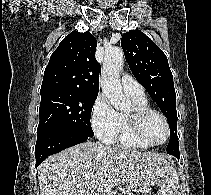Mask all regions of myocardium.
<instances>
[{"mask_svg": "<svg viewBox=\"0 0 211 195\" xmlns=\"http://www.w3.org/2000/svg\"><path fill=\"white\" fill-rule=\"evenodd\" d=\"M156 115L160 117L166 127V137L162 142L153 143L150 142L144 135L143 128L145 121L150 117ZM128 123L130 126V130L133 136L141 143H143L147 147H157L165 144L170 137V126L166 116L154 109L151 108H138L136 107L131 113L127 115Z\"/></svg>", "mask_w": 211, "mask_h": 195, "instance_id": "1", "label": "myocardium"}]
</instances>
